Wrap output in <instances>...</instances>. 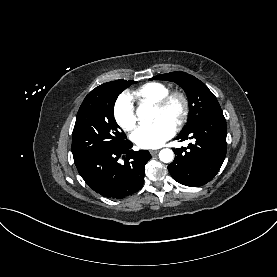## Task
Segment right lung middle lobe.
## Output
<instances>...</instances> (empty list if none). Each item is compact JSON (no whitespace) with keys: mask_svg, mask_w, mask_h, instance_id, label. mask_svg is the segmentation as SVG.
<instances>
[{"mask_svg":"<svg viewBox=\"0 0 277 277\" xmlns=\"http://www.w3.org/2000/svg\"><path fill=\"white\" fill-rule=\"evenodd\" d=\"M135 81L116 80L92 90L77 113L72 134L73 158L105 146H121L128 140L114 118L118 95Z\"/></svg>","mask_w":277,"mask_h":277,"instance_id":"right-lung-middle-lobe-1","label":"right lung middle lobe"}]
</instances>
